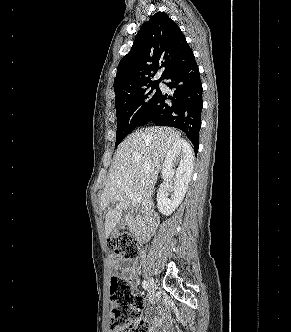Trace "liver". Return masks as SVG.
Masks as SVG:
<instances>
[{"label": "liver", "mask_w": 291, "mask_h": 332, "mask_svg": "<svg viewBox=\"0 0 291 332\" xmlns=\"http://www.w3.org/2000/svg\"><path fill=\"white\" fill-rule=\"evenodd\" d=\"M178 141H181L180 133L172 128L152 127L137 130L120 144L101 194V209L105 211L108 208L106 237L119 223L123 210L131 204L126 187L142 196L141 207L145 212L153 209L152 194L159 170L165 155ZM115 202V208H110V204Z\"/></svg>", "instance_id": "6515ba94"}]
</instances>
